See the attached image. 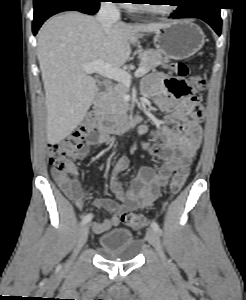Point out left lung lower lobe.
<instances>
[{
  "label": "left lung lower lobe",
  "instance_id": "1",
  "mask_svg": "<svg viewBox=\"0 0 246 300\" xmlns=\"http://www.w3.org/2000/svg\"><path fill=\"white\" fill-rule=\"evenodd\" d=\"M216 0H187L171 14L172 18H199L207 22L220 36L222 20Z\"/></svg>",
  "mask_w": 246,
  "mask_h": 300
}]
</instances>
